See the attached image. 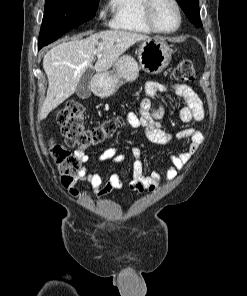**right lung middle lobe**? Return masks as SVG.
<instances>
[{
	"instance_id": "obj_1",
	"label": "right lung middle lobe",
	"mask_w": 247,
	"mask_h": 296,
	"mask_svg": "<svg viewBox=\"0 0 247 296\" xmlns=\"http://www.w3.org/2000/svg\"><path fill=\"white\" fill-rule=\"evenodd\" d=\"M98 2L99 0H46L38 49L92 19L96 14Z\"/></svg>"
}]
</instances>
